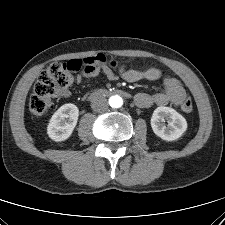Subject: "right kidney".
I'll use <instances>...</instances> for the list:
<instances>
[{"label": "right kidney", "instance_id": "ca27d5eb", "mask_svg": "<svg viewBox=\"0 0 225 225\" xmlns=\"http://www.w3.org/2000/svg\"><path fill=\"white\" fill-rule=\"evenodd\" d=\"M79 109L68 103L61 106L51 117L47 127L48 136L55 142L68 139L78 121Z\"/></svg>", "mask_w": 225, "mask_h": 225}]
</instances>
